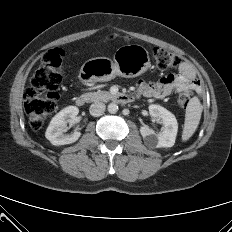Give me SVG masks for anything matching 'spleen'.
Here are the masks:
<instances>
[{"label":"spleen","instance_id":"3e777b00","mask_svg":"<svg viewBox=\"0 0 232 232\" xmlns=\"http://www.w3.org/2000/svg\"><path fill=\"white\" fill-rule=\"evenodd\" d=\"M202 106L198 97H193L188 102L185 113V122L182 132V141H187L195 133L201 118Z\"/></svg>","mask_w":232,"mask_h":232}]
</instances>
